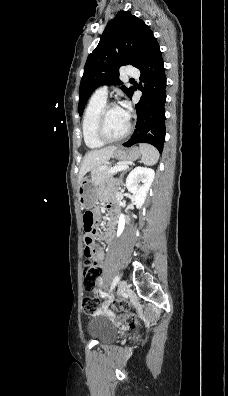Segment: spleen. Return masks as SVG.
<instances>
[{
	"mask_svg": "<svg viewBox=\"0 0 228 396\" xmlns=\"http://www.w3.org/2000/svg\"><path fill=\"white\" fill-rule=\"evenodd\" d=\"M141 152V160L145 165L152 166L157 163L159 159V153L155 147L150 144L141 143L139 144Z\"/></svg>",
	"mask_w": 228,
	"mask_h": 396,
	"instance_id": "obj_1",
	"label": "spleen"
}]
</instances>
